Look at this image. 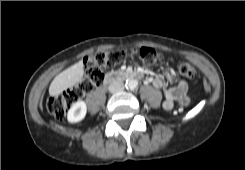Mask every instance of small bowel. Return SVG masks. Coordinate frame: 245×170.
I'll return each instance as SVG.
<instances>
[{
    "label": "small bowel",
    "instance_id": "1",
    "mask_svg": "<svg viewBox=\"0 0 245 170\" xmlns=\"http://www.w3.org/2000/svg\"><path fill=\"white\" fill-rule=\"evenodd\" d=\"M169 82L172 87L166 89L164 92L163 107L165 110H171L176 101L185 98L188 90L187 82L176 76H169ZM151 83L156 88H162L164 86V81L160 77L151 79Z\"/></svg>",
    "mask_w": 245,
    "mask_h": 170
}]
</instances>
